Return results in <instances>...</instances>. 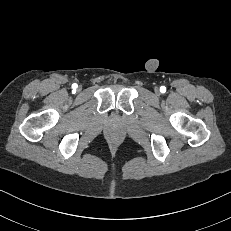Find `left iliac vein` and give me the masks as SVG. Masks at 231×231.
Wrapping results in <instances>:
<instances>
[{"label": "left iliac vein", "mask_w": 231, "mask_h": 231, "mask_svg": "<svg viewBox=\"0 0 231 231\" xmlns=\"http://www.w3.org/2000/svg\"><path fill=\"white\" fill-rule=\"evenodd\" d=\"M159 92H160L159 89L156 88V89H155V93H156V94H159Z\"/></svg>", "instance_id": "4c4485c4"}]
</instances>
